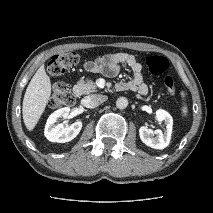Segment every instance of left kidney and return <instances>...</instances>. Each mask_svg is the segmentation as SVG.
<instances>
[{
  "label": "left kidney",
  "instance_id": "obj_1",
  "mask_svg": "<svg viewBox=\"0 0 213 213\" xmlns=\"http://www.w3.org/2000/svg\"><path fill=\"white\" fill-rule=\"evenodd\" d=\"M156 119L159 122H164L166 125V130L163 133L160 129L152 131L148 129L146 126H142L139 129V136L141 141L147 146L154 149H164L169 145L172 127H173V119L172 116L165 110L159 109L156 111ZM155 133L156 137H151L150 135Z\"/></svg>",
  "mask_w": 213,
  "mask_h": 213
}]
</instances>
